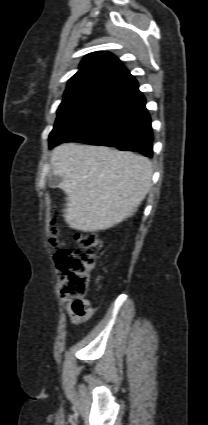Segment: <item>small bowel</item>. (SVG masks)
<instances>
[{
    "label": "small bowel",
    "mask_w": 208,
    "mask_h": 425,
    "mask_svg": "<svg viewBox=\"0 0 208 425\" xmlns=\"http://www.w3.org/2000/svg\"><path fill=\"white\" fill-rule=\"evenodd\" d=\"M61 300L66 305L70 321L75 325L88 321L95 313V308L90 306L89 301L86 307L78 309L76 302L72 299L62 297Z\"/></svg>",
    "instance_id": "1"
}]
</instances>
